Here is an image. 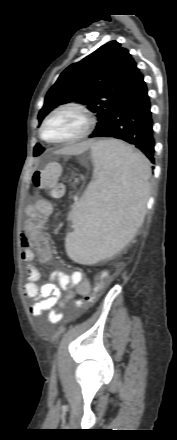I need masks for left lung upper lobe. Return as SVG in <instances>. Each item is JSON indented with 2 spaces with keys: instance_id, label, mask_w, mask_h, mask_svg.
Wrapping results in <instances>:
<instances>
[{
  "instance_id": "left-lung-upper-lobe-1",
  "label": "left lung upper lobe",
  "mask_w": 177,
  "mask_h": 440,
  "mask_svg": "<svg viewBox=\"0 0 177 440\" xmlns=\"http://www.w3.org/2000/svg\"><path fill=\"white\" fill-rule=\"evenodd\" d=\"M143 75L126 48L111 41L77 63L71 64L48 91L38 120L56 106L71 101L85 102L96 113V129L102 127L130 94ZM44 148L34 147V156Z\"/></svg>"
}]
</instances>
